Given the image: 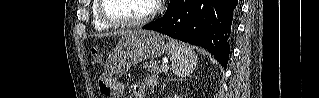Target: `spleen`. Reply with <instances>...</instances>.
I'll use <instances>...</instances> for the list:
<instances>
[{"label": "spleen", "instance_id": "3e777b00", "mask_svg": "<svg viewBox=\"0 0 319 98\" xmlns=\"http://www.w3.org/2000/svg\"><path fill=\"white\" fill-rule=\"evenodd\" d=\"M167 50L171 55L172 69L176 76L186 77L197 66L198 58L192 50L182 43L175 40H169Z\"/></svg>", "mask_w": 319, "mask_h": 98}]
</instances>
